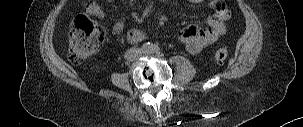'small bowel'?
<instances>
[{
    "mask_svg": "<svg viewBox=\"0 0 303 127\" xmlns=\"http://www.w3.org/2000/svg\"><path fill=\"white\" fill-rule=\"evenodd\" d=\"M105 2H111L113 0H103ZM197 2L200 0H191ZM212 6L216 10V13L210 15L207 19L208 28H200L194 24L186 25L181 33L183 42L188 52L195 54L200 52L206 45L217 40L224 32V21L230 16V11L227 8L219 7L217 0L212 1ZM87 11L92 16L103 19L105 12L101 5L97 2H91ZM135 19L139 20V17L135 15ZM125 23L122 20L117 21L112 30L115 34L123 32ZM144 33L140 28L134 27L127 32V39L132 43L142 41Z\"/></svg>",
    "mask_w": 303,
    "mask_h": 127,
    "instance_id": "c3829d8e",
    "label": "small bowel"
}]
</instances>
